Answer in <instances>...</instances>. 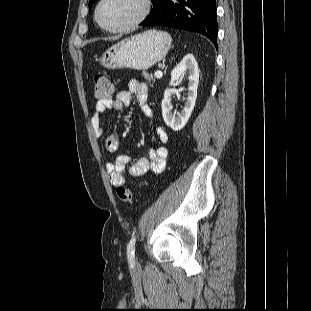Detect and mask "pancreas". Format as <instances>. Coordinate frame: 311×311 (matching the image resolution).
I'll use <instances>...</instances> for the list:
<instances>
[{
  "label": "pancreas",
  "instance_id": "1",
  "mask_svg": "<svg viewBox=\"0 0 311 311\" xmlns=\"http://www.w3.org/2000/svg\"><path fill=\"white\" fill-rule=\"evenodd\" d=\"M142 74H143V77L147 80L148 83H151V82L154 83L155 82V78H153L152 74H149L147 72H143ZM150 85L152 86L153 84H150Z\"/></svg>",
  "mask_w": 311,
  "mask_h": 311
}]
</instances>
